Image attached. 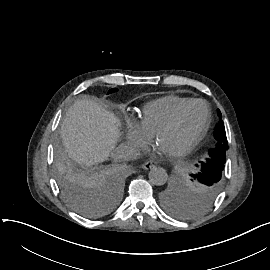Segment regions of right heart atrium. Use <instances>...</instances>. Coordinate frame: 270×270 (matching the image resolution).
<instances>
[{"label": "right heart atrium", "mask_w": 270, "mask_h": 270, "mask_svg": "<svg viewBox=\"0 0 270 270\" xmlns=\"http://www.w3.org/2000/svg\"><path fill=\"white\" fill-rule=\"evenodd\" d=\"M124 139L133 141L141 151L152 139V135L143 132L137 125L127 121Z\"/></svg>", "instance_id": "1"}]
</instances>
